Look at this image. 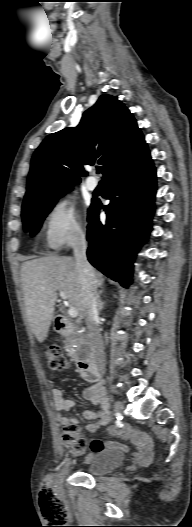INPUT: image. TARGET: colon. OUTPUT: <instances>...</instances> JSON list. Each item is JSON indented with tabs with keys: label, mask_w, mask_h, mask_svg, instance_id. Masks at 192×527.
I'll return each mask as SVG.
<instances>
[{
	"label": "colon",
	"mask_w": 192,
	"mask_h": 527,
	"mask_svg": "<svg viewBox=\"0 0 192 527\" xmlns=\"http://www.w3.org/2000/svg\"><path fill=\"white\" fill-rule=\"evenodd\" d=\"M47 366L50 370L62 372L69 368V362L57 346H51L46 351ZM62 441L64 446L74 455H81L87 448V440L81 434L77 424L72 423L65 426ZM50 480H46L41 492L42 504L44 510L50 507V504H57L53 490L51 489Z\"/></svg>",
	"instance_id": "5ec220e1"
}]
</instances>
